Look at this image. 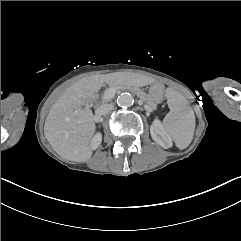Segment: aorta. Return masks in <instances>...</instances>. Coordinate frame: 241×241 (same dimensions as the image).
<instances>
[{
    "instance_id": "obj_1",
    "label": "aorta",
    "mask_w": 241,
    "mask_h": 241,
    "mask_svg": "<svg viewBox=\"0 0 241 241\" xmlns=\"http://www.w3.org/2000/svg\"><path fill=\"white\" fill-rule=\"evenodd\" d=\"M134 103V99L131 94L129 93H122L117 98V104L119 107L128 108L132 106Z\"/></svg>"
}]
</instances>
